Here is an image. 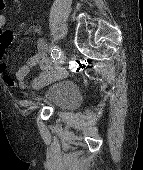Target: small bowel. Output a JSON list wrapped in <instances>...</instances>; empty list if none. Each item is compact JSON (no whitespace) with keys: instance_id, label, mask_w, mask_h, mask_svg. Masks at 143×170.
<instances>
[{"instance_id":"1","label":"small bowel","mask_w":143,"mask_h":170,"mask_svg":"<svg viewBox=\"0 0 143 170\" xmlns=\"http://www.w3.org/2000/svg\"><path fill=\"white\" fill-rule=\"evenodd\" d=\"M19 1V0H14ZM4 6V2H3ZM7 18L4 14L0 13V77L5 85L8 87H26L25 80L29 75L31 69L38 66L41 69L40 75L32 82V88H38L49 81V74L51 72L52 63L50 58L46 55L47 41L45 38L37 40V52L31 56L27 62L18 69L15 76L7 73V64L4 60L5 49L12 44L15 39L14 33L6 29ZM39 31L38 28H34ZM62 75L65 73L61 71Z\"/></svg>"}]
</instances>
